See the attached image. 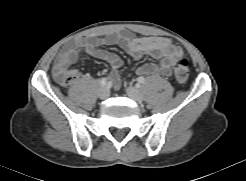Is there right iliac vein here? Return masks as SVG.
I'll use <instances>...</instances> for the list:
<instances>
[{
    "instance_id": "obj_1",
    "label": "right iliac vein",
    "mask_w": 246,
    "mask_h": 181,
    "mask_svg": "<svg viewBox=\"0 0 246 181\" xmlns=\"http://www.w3.org/2000/svg\"><path fill=\"white\" fill-rule=\"evenodd\" d=\"M109 96V90L107 87H102L98 90V97L102 100L107 99Z\"/></svg>"
}]
</instances>
